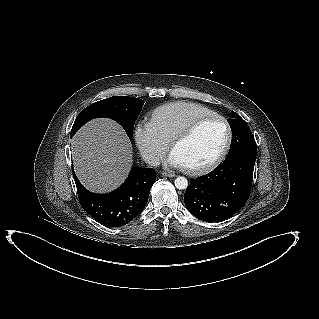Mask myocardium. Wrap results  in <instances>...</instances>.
I'll return each instance as SVG.
<instances>
[{
	"label": "myocardium",
	"instance_id": "1",
	"mask_svg": "<svg viewBox=\"0 0 319 319\" xmlns=\"http://www.w3.org/2000/svg\"><path fill=\"white\" fill-rule=\"evenodd\" d=\"M211 119H218L220 120L226 128V138L224 141V144L219 151V153L216 155V157L211 160L209 163L202 165V166H196V167H183V170L191 175H201L205 174L207 172H210L214 168H216L225 158L226 154L228 153V150L231 145L232 141V129L228 122V120L217 113L207 114L199 116L192 121H190L184 128H182L170 141V150L173 152L174 147L179 144L180 142L187 139L189 136L192 135V133L196 130V128L203 122L211 120Z\"/></svg>",
	"mask_w": 319,
	"mask_h": 319
}]
</instances>
